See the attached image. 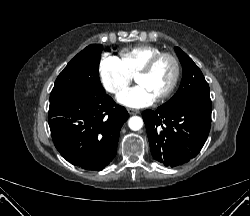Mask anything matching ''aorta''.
<instances>
[{
	"instance_id": "obj_1",
	"label": "aorta",
	"mask_w": 250,
	"mask_h": 216,
	"mask_svg": "<svg viewBox=\"0 0 250 216\" xmlns=\"http://www.w3.org/2000/svg\"><path fill=\"white\" fill-rule=\"evenodd\" d=\"M128 126L133 131H138L143 126V120L139 116H133L128 120Z\"/></svg>"
}]
</instances>
